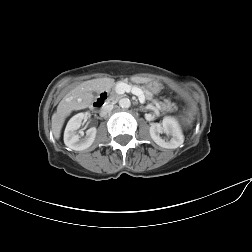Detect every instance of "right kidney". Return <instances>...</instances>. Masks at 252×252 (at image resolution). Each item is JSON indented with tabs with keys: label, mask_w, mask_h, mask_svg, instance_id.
I'll list each match as a JSON object with an SVG mask.
<instances>
[{
	"label": "right kidney",
	"mask_w": 252,
	"mask_h": 252,
	"mask_svg": "<svg viewBox=\"0 0 252 252\" xmlns=\"http://www.w3.org/2000/svg\"><path fill=\"white\" fill-rule=\"evenodd\" d=\"M87 115L84 113H78L73 116L64 132V143L72 150L81 151L89 148L96 137L97 129L92 127L86 131V136L81 137L77 134V130L80 128L83 119H86Z\"/></svg>",
	"instance_id": "obj_1"
}]
</instances>
